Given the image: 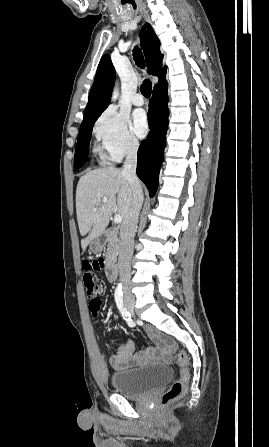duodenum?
<instances>
[{"label":"duodenum","mask_w":269,"mask_h":447,"mask_svg":"<svg viewBox=\"0 0 269 447\" xmlns=\"http://www.w3.org/2000/svg\"><path fill=\"white\" fill-rule=\"evenodd\" d=\"M116 231L114 229H111L109 231L110 234L115 233ZM106 275L107 278L110 282H114L116 281L117 278V271H116V266L113 263H109L106 267Z\"/></svg>","instance_id":"duodenum-1"}]
</instances>
